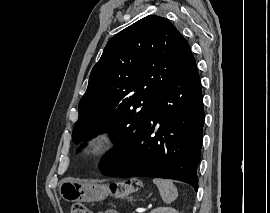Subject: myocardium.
<instances>
[{
	"instance_id": "f54148a6",
	"label": "myocardium",
	"mask_w": 270,
	"mask_h": 213,
	"mask_svg": "<svg viewBox=\"0 0 270 213\" xmlns=\"http://www.w3.org/2000/svg\"><path fill=\"white\" fill-rule=\"evenodd\" d=\"M119 143L117 132L111 128H101L92 132L84 142L85 153L100 158L114 150Z\"/></svg>"
}]
</instances>
